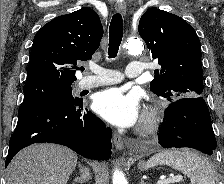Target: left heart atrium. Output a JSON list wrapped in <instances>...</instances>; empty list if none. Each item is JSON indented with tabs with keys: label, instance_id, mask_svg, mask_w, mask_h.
Segmentation results:
<instances>
[{
	"label": "left heart atrium",
	"instance_id": "obj_1",
	"mask_svg": "<svg viewBox=\"0 0 224 184\" xmlns=\"http://www.w3.org/2000/svg\"><path fill=\"white\" fill-rule=\"evenodd\" d=\"M93 107L102 118L119 127L133 126L139 118V98L135 94H125L118 88L98 93Z\"/></svg>",
	"mask_w": 224,
	"mask_h": 184
}]
</instances>
